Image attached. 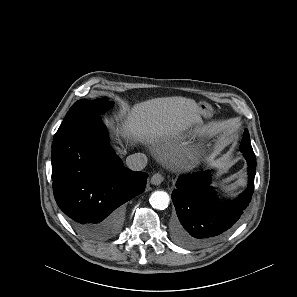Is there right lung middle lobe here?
<instances>
[{
  "label": "right lung middle lobe",
  "instance_id": "1",
  "mask_svg": "<svg viewBox=\"0 0 297 297\" xmlns=\"http://www.w3.org/2000/svg\"><path fill=\"white\" fill-rule=\"evenodd\" d=\"M113 106V102L107 98L77 101L67 112L62 124L57 132L67 129L70 126L80 125L83 122L99 119L100 115L109 110Z\"/></svg>",
  "mask_w": 297,
  "mask_h": 297
}]
</instances>
